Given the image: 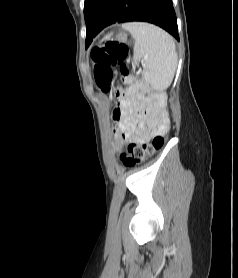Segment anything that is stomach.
Listing matches in <instances>:
<instances>
[{
  "label": "stomach",
  "mask_w": 238,
  "mask_h": 278,
  "mask_svg": "<svg viewBox=\"0 0 238 278\" xmlns=\"http://www.w3.org/2000/svg\"><path fill=\"white\" fill-rule=\"evenodd\" d=\"M116 40H118L120 42L126 41L127 40V34L125 32H119L116 35Z\"/></svg>",
  "instance_id": "stomach-1"
}]
</instances>
